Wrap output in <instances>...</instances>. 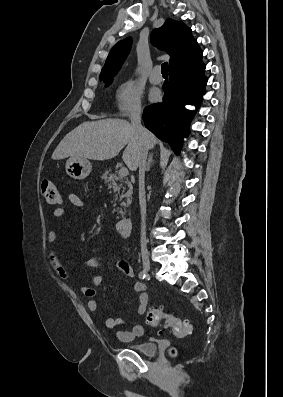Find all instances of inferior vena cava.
Here are the masks:
<instances>
[{
    "label": "inferior vena cava",
    "mask_w": 283,
    "mask_h": 397,
    "mask_svg": "<svg viewBox=\"0 0 283 397\" xmlns=\"http://www.w3.org/2000/svg\"><path fill=\"white\" fill-rule=\"evenodd\" d=\"M131 125L136 131L138 137L143 142V148L139 156V204L141 211V248L146 249V198L144 179L146 171V160L148 154V132L141 124V107L137 106L130 115Z\"/></svg>",
    "instance_id": "inferior-vena-cava-1"
}]
</instances>
